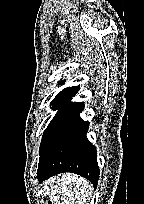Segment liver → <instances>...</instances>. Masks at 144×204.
Returning a JSON list of instances; mask_svg holds the SVG:
<instances>
[{"label": "liver", "instance_id": "1", "mask_svg": "<svg viewBox=\"0 0 144 204\" xmlns=\"http://www.w3.org/2000/svg\"><path fill=\"white\" fill-rule=\"evenodd\" d=\"M50 201L54 204H84L93 190L85 178L71 173L56 175L48 182Z\"/></svg>", "mask_w": 144, "mask_h": 204}]
</instances>
